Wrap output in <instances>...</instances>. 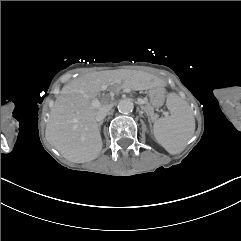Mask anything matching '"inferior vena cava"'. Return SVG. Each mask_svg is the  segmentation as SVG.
I'll return each mask as SVG.
<instances>
[{"label":"inferior vena cava","mask_w":241,"mask_h":241,"mask_svg":"<svg viewBox=\"0 0 241 241\" xmlns=\"http://www.w3.org/2000/svg\"><path fill=\"white\" fill-rule=\"evenodd\" d=\"M111 108L112 107L108 105L105 109L99 110L96 114V121L98 123L102 122Z\"/></svg>","instance_id":"602c4592"}]
</instances>
